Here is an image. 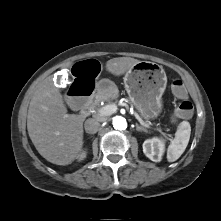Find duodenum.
I'll return each instance as SVG.
<instances>
[{
  "label": "duodenum",
  "mask_w": 221,
  "mask_h": 221,
  "mask_svg": "<svg viewBox=\"0 0 221 221\" xmlns=\"http://www.w3.org/2000/svg\"><path fill=\"white\" fill-rule=\"evenodd\" d=\"M91 100H92V99H91ZM91 100H90V101H91ZM90 101L88 102L87 106H86L84 109H82V113H83V114H86V113L89 112V109H90L89 103H90Z\"/></svg>",
  "instance_id": "duodenum-1"
}]
</instances>
